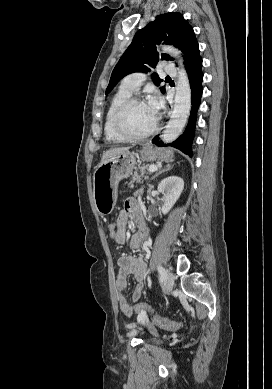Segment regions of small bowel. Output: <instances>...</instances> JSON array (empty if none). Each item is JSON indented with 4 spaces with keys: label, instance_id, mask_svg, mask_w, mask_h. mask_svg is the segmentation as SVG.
Instances as JSON below:
<instances>
[{
    "label": "small bowel",
    "instance_id": "c3829d8e",
    "mask_svg": "<svg viewBox=\"0 0 272 389\" xmlns=\"http://www.w3.org/2000/svg\"><path fill=\"white\" fill-rule=\"evenodd\" d=\"M130 219L134 220L138 226V231L132 235L130 246L133 250L139 251L147 238V231L142 224L140 206L135 197H130L125 201L124 208L120 211L117 218L118 233L113 238L117 243L122 244L127 240V226ZM119 272L115 281L117 294V303L120 311L127 317L134 314V307L128 302L124 295L127 287V278L133 276L136 281V287L132 294L134 303L138 302L141 292L145 287L146 280V263L141 256L127 255L118 259Z\"/></svg>",
    "mask_w": 272,
    "mask_h": 389
}]
</instances>
